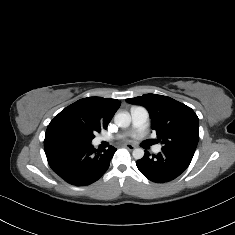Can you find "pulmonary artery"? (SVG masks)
Segmentation results:
<instances>
[{
  "instance_id": "1",
  "label": "pulmonary artery",
  "mask_w": 235,
  "mask_h": 235,
  "mask_svg": "<svg viewBox=\"0 0 235 235\" xmlns=\"http://www.w3.org/2000/svg\"><path fill=\"white\" fill-rule=\"evenodd\" d=\"M130 113H131V121H132L131 131L140 130L147 125L148 119H149V112L147 108L143 106H133L130 109ZM112 139L113 137L111 136H99L94 140V144L99 145L104 141H110ZM153 151L155 153L160 152L161 146L159 145L155 146L153 148Z\"/></svg>"
}]
</instances>
